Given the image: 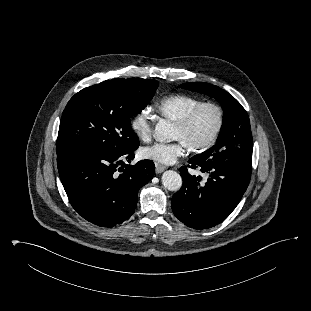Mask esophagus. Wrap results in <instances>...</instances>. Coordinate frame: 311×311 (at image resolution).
<instances>
[{
	"label": "esophagus",
	"mask_w": 311,
	"mask_h": 311,
	"mask_svg": "<svg viewBox=\"0 0 311 311\" xmlns=\"http://www.w3.org/2000/svg\"><path fill=\"white\" fill-rule=\"evenodd\" d=\"M165 169H166L165 166L160 165V164H155V172H156L157 174L162 173Z\"/></svg>",
	"instance_id": "1"
}]
</instances>
